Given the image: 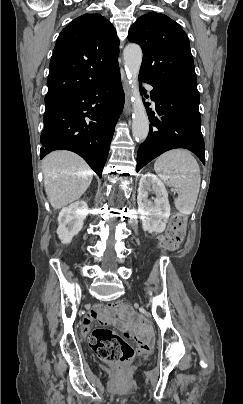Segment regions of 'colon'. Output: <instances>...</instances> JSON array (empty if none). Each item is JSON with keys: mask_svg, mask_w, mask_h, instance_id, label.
<instances>
[{"mask_svg": "<svg viewBox=\"0 0 243 404\" xmlns=\"http://www.w3.org/2000/svg\"><path fill=\"white\" fill-rule=\"evenodd\" d=\"M186 231V217L175 214L168 225L166 233L161 237L158 247L164 251H175L181 244ZM108 306L122 315H131L132 310L123 302L110 301ZM90 343L97 355L109 362L124 364L129 362L135 354L131 344L114 331L101 327L92 332ZM152 347L150 339H137V353L146 354Z\"/></svg>", "mask_w": 243, "mask_h": 404, "instance_id": "5ec220e1", "label": "colon"}]
</instances>
